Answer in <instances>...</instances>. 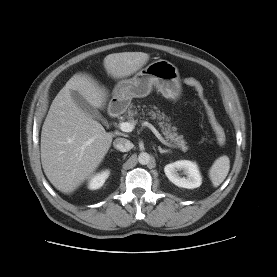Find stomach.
<instances>
[{
  "label": "stomach",
  "mask_w": 277,
  "mask_h": 277,
  "mask_svg": "<svg viewBox=\"0 0 277 277\" xmlns=\"http://www.w3.org/2000/svg\"><path fill=\"white\" fill-rule=\"evenodd\" d=\"M156 87L165 98L176 100L181 95V83L178 69L171 62L156 60L137 72L132 78L119 81L114 90L109 108L124 112L132 98L147 96Z\"/></svg>",
  "instance_id": "1"
}]
</instances>
